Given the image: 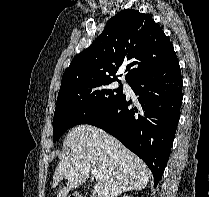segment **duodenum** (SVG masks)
<instances>
[{
    "mask_svg": "<svg viewBox=\"0 0 209 197\" xmlns=\"http://www.w3.org/2000/svg\"><path fill=\"white\" fill-rule=\"evenodd\" d=\"M91 197H97L95 194H92Z\"/></svg>",
    "mask_w": 209,
    "mask_h": 197,
    "instance_id": "duodenum-1",
    "label": "duodenum"
}]
</instances>
